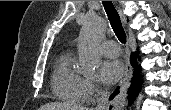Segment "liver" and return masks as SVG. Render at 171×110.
I'll return each mask as SVG.
<instances>
[{
	"mask_svg": "<svg viewBox=\"0 0 171 110\" xmlns=\"http://www.w3.org/2000/svg\"><path fill=\"white\" fill-rule=\"evenodd\" d=\"M39 110H89L86 107L66 102H53L40 107Z\"/></svg>",
	"mask_w": 171,
	"mask_h": 110,
	"instance_id": "liver-1",
	"label": "liver"
}]
</instances>
